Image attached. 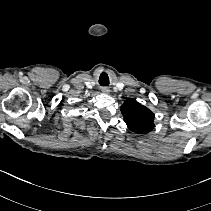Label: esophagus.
Segmentation results:
<instances>
[{"label":"esophagus","instance_id":"1","mask_svg":"<svg viewBox=\"0 0 211 211\" xmlns=\"http://www.w3.org/2000/svg\"><path fill=\"white\" fill-rule=\"evenodd\" d=\"M102 92H104V93H109L110 90H109L107 87H103V88H102Z\"/></svg>","mask_w":211,"mask_h":211}]
</instances>
